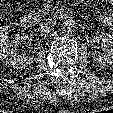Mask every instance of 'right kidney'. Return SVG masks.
I'll return each instance as SVG.
<instances>
[{"label":"right kidney","mask_w":113,"mask_h":113,"mask_svg":"<svg viewBox=\"0 0 113 113\" xmlns=\"http://www.w3.org/2000/svg\"><path fill=\"white\" fill-rule=\"evenodd\" d=\"M31 38L26 33L17 34L11 41L9 48L4 53L5 63L13 68L23 69L31 65L34 56L30 53L18 54L17 49L20 42L31 43Z\"/></svg>","instance_id":"ca27d5eb"}]
</instances>
